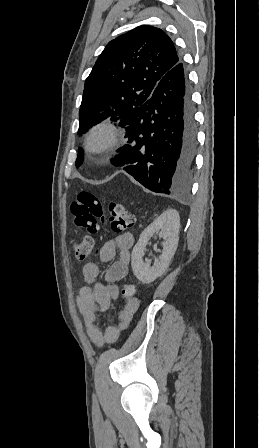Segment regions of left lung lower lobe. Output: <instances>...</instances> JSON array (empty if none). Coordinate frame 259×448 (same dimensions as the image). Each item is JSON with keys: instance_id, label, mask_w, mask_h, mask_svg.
<instances>
[{"instance_id": "obj_1", "label": "left lung lower lobe", "mask_w": 259, "mask_h": 448, "mask_svg": "<svg viewBox=\"0 0 259 448\" xmlns=\"http://www.w3.org/2000/svg\"><path fill=\"white\" fill-rule=\"evenodd\" d=\"M128 144L112 164L149 190L173 194L190 182L196 149L191 89L183 63L171 68L150 98L126 119Z\"/></svg>"}]
</instances>
